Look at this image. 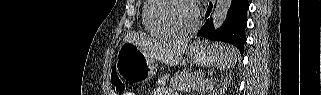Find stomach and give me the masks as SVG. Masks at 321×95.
<instances>
[{"mask_svg":"<svg viewBox=\"0 0 321 95\" xmlns=\"http://www.w3.org/2000/svg\"><path fill=\"white\" fill-rule=\"evenodd\" d=\"M189 58L198 65L211 66L222 54V46L208 48L202 42L192 44L187 50ZM116 70L126 81L146 82L157 71L154 59L134 43H123L117 53Z\"/></svg>","mask_w":321,"mask_h":95,"instance_id":"0dacf381","label":"stomach"}]
</instances>
